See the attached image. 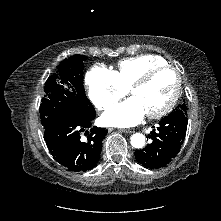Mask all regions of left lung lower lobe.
I'll use <instances>...</instances> for the list:
<instances>
[{"label":"left lung lower lobe","instance_id":"left-lung-lower-lobe-1","mask_svg":"<svg viewBox=\"0 0 221 221\" xmlns=\"http://www.w3.org/2000/svg\"><path fill=\"white\" fill-rule=\"evenodd\" d=\"M187 124V111L183 110H174L162 118L158 127L148 135L151 143L135 152L136 160L149 169L166 166L179 153Z\"/></svg>","mask_w":221,"mask_h":221}]
</instances>
